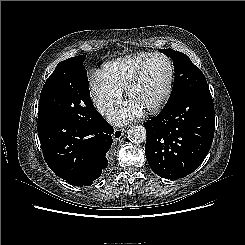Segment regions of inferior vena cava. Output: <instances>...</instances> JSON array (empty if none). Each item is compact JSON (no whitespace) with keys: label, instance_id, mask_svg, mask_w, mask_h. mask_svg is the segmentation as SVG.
<instances>
[{"label":"inferior vena cava","instance_id":"602c4592","mask_svg":"<svg viewBox=\"0 0 245 245\" xmlns=\"http://www.w3.org/2000/svg\"><path fill=\"white\" fill-rule=\"evenodd\" d=\"M112 106L110 101L101 100L96 103L97 110L104 115Z\"/></svg>","mask_w":245,"mask_h":245}]
</instances>
